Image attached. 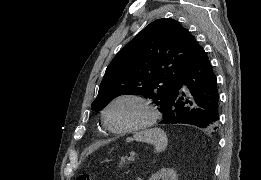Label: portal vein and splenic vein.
<instances>
[{
  "label": "portal vein and splenic vein",
  "instance_id": "portal-vein-and-splenic-vein-1",
  "mask_svg": "<svg viewBox=\"0 0 261 180\" xmlns=\"http://www.w3.org/2000/svg\"><path fill=\"white\" fill-rule=\"evenodd\" d=\"M137 157L134 156V152H130L129 161H136Z\"/></svg>",
  "mask_w": 261,
  "mask_h": 180
}]
</instances>
